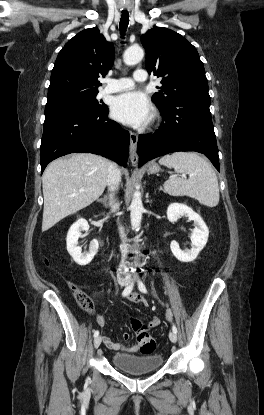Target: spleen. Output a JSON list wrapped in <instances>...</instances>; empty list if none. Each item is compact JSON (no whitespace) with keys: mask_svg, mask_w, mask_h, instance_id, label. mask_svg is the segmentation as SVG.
I'll return each instance as SVG.
<instances>
[{"mask_svg":"<svg viewBox=\"0 0 264 415\" xmlns=\"http://www.w3.org/2000/svg\"><path fill=\"white\" fill-rule=\"evenodd\" d=\"M159 163L176 173L188 174L189 179L174 174L164 182V191L171 196H189L208 207L219 202L217 176L211 165L193 152H175L160 158Z\"/></svg>","mask_w":264,"mask_h":415,"instance_id":"spleen-1","label":"spleen"}]
</instances>
